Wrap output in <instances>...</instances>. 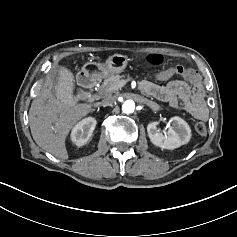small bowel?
Segmentation results:
<instances>
[{
	"label": "small bowel",
	"instance_id": "obj_1",
	"mask_svg": "<svg viewBox=\"0 0 237 237\" xmlns=\"http://www.w3.org/2000/svg\"><path fill=\"white\" fill-rule=\"evenodd\" d=\"M175 70L168 69L157 75L159 80H167L174 76ZM141 89L147 94L169 102L175 109H183L190 116L207 120L209 118V107L205 99V88L198 75H194L187 82L174 81L165 86L157 85L150 81L141 83Z\"/></svg>",
	"mask_w": 237,
	"mask_h": 237
}]
</instances>
